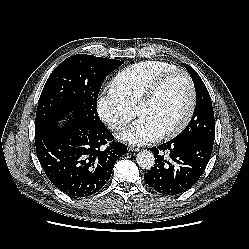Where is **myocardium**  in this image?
<instances>
[{
	"mask_svg": "<svg viewBox=\"0 0 249 249\" xmlns=\"http://www.w3.org/2000/svg\"><path fill=\"white\" fill-rule=\"evenodd\" d=\"M180 75L182 76L188 86L189 90V103H188V108L186 110V113L184 114L183 118L181 121L174 126L173 128L165 131L163 133L164 137L171 138L175 137L178 134H180L190 123L194 112L196 108V89L194 82L190 76V74L182 69H175L172 71H169L167 73H164L163 75L159 76L149 87L148 89L144 92V94L141 96L139 101L136 104V110L138 113V110L141 106L151 102L158 94L162 86L172 77Z\"/></svg>",
	"mask_w": 249,
	"mask_h": 249,
	"instance_id": "1",
	"label": "myocardium"
}]
</instances>
